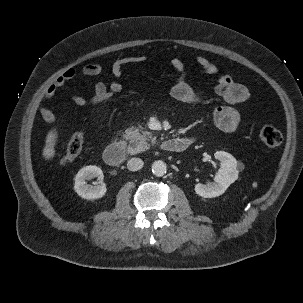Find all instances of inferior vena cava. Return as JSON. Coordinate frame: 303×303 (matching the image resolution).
I'll return each mask as SVG.
<instances>
[{
  "instance_id": "602c4592",
  "label": "inferior vena cava",
  "mask_w": 303,
  "mask_h": 303,
  "mask_svg": "<svg viewBox=\"0 0 303 303\" xmlns=\"http://www.w3.org/2000/svg\"><path fill=\"white\" fill-rule=\"evenodd\" d=\"M144 163L140 158H131L127 163V168L130 171H138L143 167Z\"/></svg>"
}]
</instances>
